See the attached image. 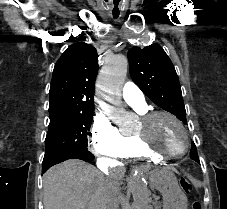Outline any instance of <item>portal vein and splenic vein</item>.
I'll return each mask as SVG.
<instances>
[{
  "instance_id": "18ae733b",
  "label": "portal vein and splenic vein",
  "mask_w": 227,
  "mask_h": 209,
  "mask_svg": "<svg viewBox=\"0 0 227 209\" xmlns=\"http://www.w3.org/2000/svg\"><path fill=\"white\" fill-rule=\"evenodd\" d=\"M160 197H159V195L158 194H155L154 195V199L156 200V199H159Z\"/></svg>"
}]
</instances>
